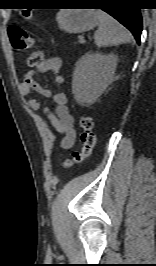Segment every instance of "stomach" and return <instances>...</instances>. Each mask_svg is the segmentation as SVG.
Wrapping results in <instances>:
<instances>
[{
	"label": "stomach",
	"mask_w": 156,
	"mask_h": 266,
	"mask_svg": "<svg viewBox=\"0 0 156 266\" xmlns=\"http://www.w3.org/2000/svg\"><path fill=\"white\" fill-rule=\"evenodd\" d=\"M56 21L65 32L81 33L93 29L99 20L96 12L91 9H61Z\"/></svg>",
	"instance_id": "1"
}]
</instances>
